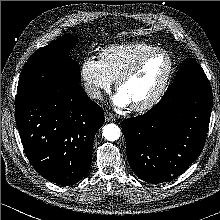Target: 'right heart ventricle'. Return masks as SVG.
<instances>
[{
	"label": "right heart ventricle",
	"mask_w": 220,
	"mask_h": 220,
	"mask_svg": "<svg viewBox=\"0 0 220 220\" xmlns=\"http://www.w3.org/2000/svg\"><path fill=\"white\" fill-rule=\"evenodd\" d=\"M155 48L144 42L110 45L101 51L99 60L106 73L115 80L139 57Z\"/></svg>",
	"instance_id": "obj_1"
}]
</instances>
